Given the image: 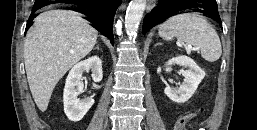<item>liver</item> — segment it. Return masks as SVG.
<instances>
[{"label":"liver","mask_w":257,"mask_h":130,"mask_svg":"<svg viewBox=\"0 0 257 130\" xmlns=\"http://www.w3.org/2000/svg\"><path fill=\"white\" fill-rule=\"evenodd\" d=\"M97 35L77 12L50 10L34 19L24 42V60L30 91L41 112L46 111L58 81L93 49Z\"/></svg>","instance_id":"1"}]
</instances>
